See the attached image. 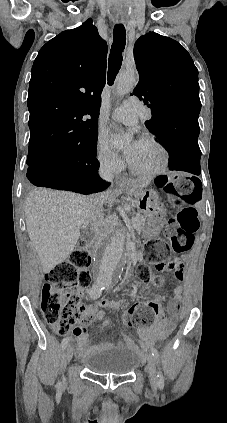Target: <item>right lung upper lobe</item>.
<instances>
[{
    "mask_svg": "<svg viewBox=\"0 0 227 423\" xmlns=\"http://www.w3.org/2000/svg\"><path fill=\"white\" fill-rule=\"evenodd\" d=\"M107 51L91 20L41 48L27 100L29 155L68 147L97 132Z\"/></svg>",
    "mask_w": 227,
    "mask_h": 423,
    "instance_id": "obj_1",
    "label": "right lung upper lobe"
}]
</instances>
